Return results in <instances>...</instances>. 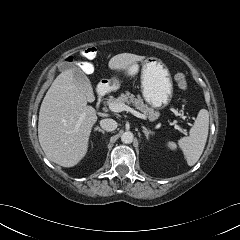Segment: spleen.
<instances>
[{
	"instance_id": "1",
	"label": "spleen",
	"mask_w": 240,
	"mask_h": 240,
	"mask_svg": "<svg viewBox=\"0 0 240 240\" xmlns=\"http://www.w3.org/2000/svg\"><path fill=\"white\" fill-rule=\"evenodd\" d=\"M209 129V113L206 109H201L197 115L194 125L191 127L189 136L183 137L178 141V146L184 153L186 162L189 166L197 163L203 153ZM168 148L176 150L175 142H168Z\"/></svg>"
}]
</instances>
